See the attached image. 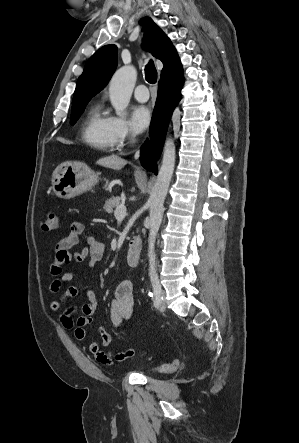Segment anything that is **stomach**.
Segmentation results:
<instances>
[{"instance_id": "obj_1", "label": "stomach", "mask_w": 299, "mask_h": 443, "mask_svg": "<svg viewBox=\"0 0 299 443\" xmlns=\"http://www.w3.org/2000/svg\"><path fill=\"white\" fill-rule=\"evenodd\" d=\"M98 181V174L87 165L68 162L53 172L52 189L59 198L70 199L92 189Z\"/></svg>"}]
</instances>
